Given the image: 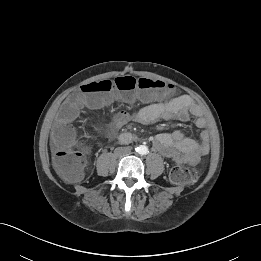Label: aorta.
<instances>
[{"instance_id": "762f6f07", "label": "aorta", "mask_w": 261, "mask_h": 261, "mask_svg": "<svg viewBox=\"0 0 261 261\" xmlns=\"http://www.w3.org/2000/svg\"><path fill=\"white\" fill-rule=\"evenodd\" d=\"M136 151L139 154L144 155V154H147L148 148L145 145H140L139 147L136 148Z\"/></svg>"}]
</instances>
